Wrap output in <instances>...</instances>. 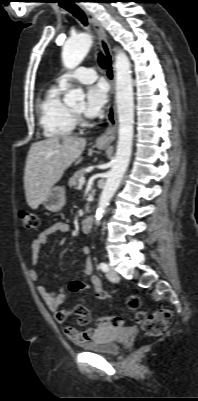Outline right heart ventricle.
<instances>
[{"label": "right heart ventricle", "instance_id": "1", "mask_svg": "<svg viewBox=\"0 0 198 401\" xmlns=\"http://www.w3.org/2000/svg\"><path fill=\"white\" fill-rule=\"evenodd\" d=\"M63 90L64 87L53 85L38 102L39 122L44 135L48 138L67 137L75 129L71 109L61 99Z\"/></svg>", "mask_w": 198, "mask_h": 401}]
</instances>
